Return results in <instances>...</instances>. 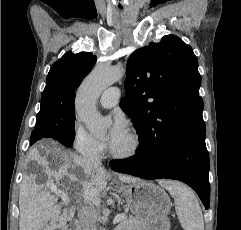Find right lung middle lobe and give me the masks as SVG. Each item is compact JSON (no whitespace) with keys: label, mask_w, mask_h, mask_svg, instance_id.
Returning <instances> with one entry per match:
<instances>
[{"label":"right lung middle lobe","mask_w":241,"mask_h":230,"mask_svg":"<svg viewBox=\"0 0 241 230\" xmlns=\"http://www.w3.org/2000/svg\"><path fill=\"white\" fill-rule=\"evenodd\" d=\"M74 125V111L39 112L35 129L31 134L30 145L39 140L50 138L59 141L66 147H71L75 137Z\"/></svg>","instance_id":"right-lung-middle-lobe-1"}]
</instances>
